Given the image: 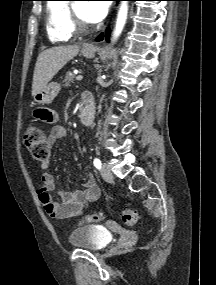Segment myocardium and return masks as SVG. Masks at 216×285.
<instances>
[{"mask_svg":"<svg viewBox=\"0 0 216 285\" xmlns=\"http://www.w3.org/2000/svg\"><path fill=\"white\" fill-rule=\"evenodd\" d=\"M69 23L73 34H82L90 29L89 24L78 16L74 4H69Z\"/></svg>","mask_w":216,"mask_h":285,"instance_id":"myocardium-1","label":"myocardium"}]
</instances>
